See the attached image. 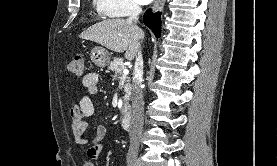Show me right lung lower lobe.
Listing matches in <instances>:
<instances>
[{
    "instance_id": "right-lung-lower-lobe-1",
    "label": "right lung lower lobe",
    "mask_w": 277,
    "mask_h": 166,
    "mask_svg": "<svg viewBox=\"0 0 277 166\" xmlns=\"http://www.w3.org/2000/svg\"><path fill=\"white\" fill-rule=\"evenodd\" d=\"M144 24L148 26L156 35V37L161 36V21L159 14H153L151 9L147 10L143 18Z\"/></svg>"
}]
</instances>
